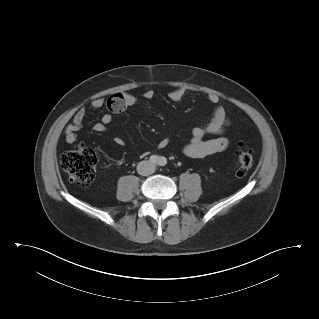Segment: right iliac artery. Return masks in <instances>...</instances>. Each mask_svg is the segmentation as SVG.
<instances>
[{"mask_svg":"<svg viewBox=\"0 0 319 319\" xmlns=\"http://www.w3.org/2000/svg\"><path fill=\"white\" fill-rule=\"evenodd\" d=\"M158 160H159V158H158V156H156V155H152V156L150 157V162H151L152 164L158 163Z\"/></svg>","mask_w":319,"mask_h":319,"instance_id":"obj_1","label":"right iliac artery"}]
</instances>
